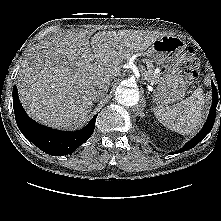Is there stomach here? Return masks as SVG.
Here are the masks:
<instances>
[{
  "mask_svg": "<svg viewBox=\"0 0 221 221\" xmlns=\"http://www.w3.org/2000/svg\"><path fill=\"white\" fill-rule=\"evenodd\" d=\"M186 42L177 36L162 35L148 48V53L165 68L154 91V102L160 105L184 98L188 84L182 74Z\"/></svg>",
  "mask_w": 221,
  "mask_h": 221,
  "instance_id": "stomach-1",
  "label": "stomach"
}]
</instances>
